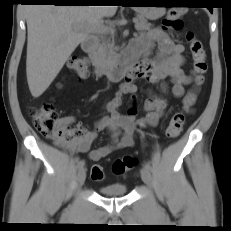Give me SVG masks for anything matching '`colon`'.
Returning a JSON list of instances; mask_svg holds the SVG:
<instances>
[{"label": "colon", "instance_id": "1", "mask_svg": "<svg viewBox=\"0 0 231 231\" xmlns=\"http://www.w3.org/2000/svg\"><path fill=\"white\" fill-rule=\"evenodd\" d=\"M184 10L181 8H172L162 21L163 28L175 33H183L189 49L192 60V68L195 73L197 84H202L204 76L208 70L207 53L203 43L196 38L193 32H183L182 15ZM67 67L79 78L85 79L88 76V61L84 57H72ZM186 118V109L176 112L170 119L166 135L170 139L177 138L183 130ZM34 127L46 138L52 140L59 146H66L85 135L82 129H74L63 124L55 113L54 106L45 102L32 112ZM137 163L135 156L126 155L118 158L112 165V171L117 176H124L125 173L133 168ZM91 178L100 181L104 178V169L99 164H94L90 172Z\"/></svg>", "mask_w": 231, "mask_h": 231}]
</instances>
